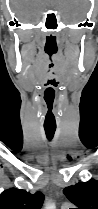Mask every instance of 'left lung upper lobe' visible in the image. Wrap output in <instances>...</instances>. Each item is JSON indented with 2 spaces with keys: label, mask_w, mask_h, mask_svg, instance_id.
<instances>
[{
  "label": "left lung upper lobe",
  "mask_w": 98,
  "mask_h": 209,
  "mask_svg": "<svg viewBox=\"0 0 98 209\" xmlns=\"http://www.w3.org/2000/svg\"><path fill=\"white\" fill-rule=\"evenodd\" d=\"M66 197L77 209H98V181L79 182L63 190Z\"/></svg>",
  "instance_id": "1"
}]
</instances>
